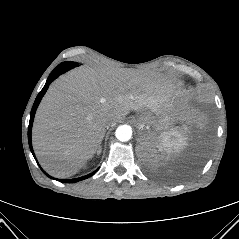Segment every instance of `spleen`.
Returning a JSON list of instances; mask_svg holds the SVG:
<instances>
[{"label": "spleen", "instance_id": "obj_1", "mask_svg": "<svg viewBox=\"0 0 239 239\" xmlns=\"http://www.w3.org/2000/svg\"><path fill=\"white\" fill-rule=\"evenodd\" d=\"M187 125L182 128L170 129L164 131L157 137L156 146L159 151L174 153L182 150L186 145Z\"/></svg>", "mask_w": 239, "mask_h": 239}]
</instances>
